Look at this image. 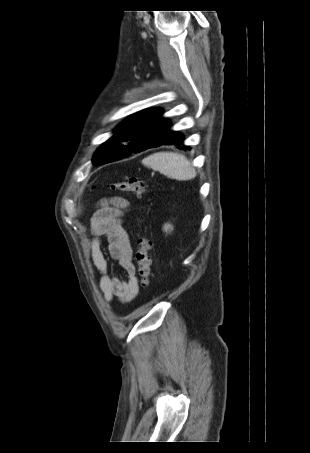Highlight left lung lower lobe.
<instances>
[{"label":"left lung lower lobe","mask_w":310,"mask_h":453,"mask_svg":"<svg viewBox=\"0 0 310 453\" xmlns=\"http://www.w3.org/2000/svg\"><path fill=\"white\" fill-rule=\"evenodd\" d=\"M183 141H184V136L182 134H180L176 131L169 130V132L165 135V137L163 139L150 144L143 150H146V149L152 148V147H158L161 145H174V146H177L179 149H183V150L190 149L188 146L183 145ZM180 145H183V146L181 147Z\"/></svg>","instance_id":"1"}]
</instances>
